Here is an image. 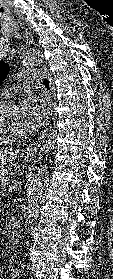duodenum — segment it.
I'll return each mask as SVG.
<instances>
[{
    "label": "duodenum",
    "instance_id": "obj_1",
    "mask_svg": "<svg viewBox=\"0 0 113 279\" xmlns=\"http://www.w3.org/2000/svg\"><path fill=\"white\" fill-rule=\"evenodd\" d=\"M9 232L13 239L18 240L20 236V223L16 217H12L9 221Z\"/></svg>",
    "mask_w": 113,
    "mask_h": 279
}]
</instances>
